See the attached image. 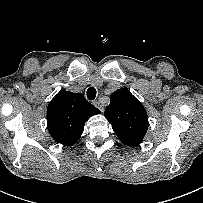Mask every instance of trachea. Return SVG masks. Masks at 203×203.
Instances as JSON below:
<instances>
[{
  "mask_svg": "<svg viewBox=\"0 0 203 203\" xmlns=\"http://www.w3.org/2000/svg\"><path fill=\"white\" fill-rule=\"evenodd\" d=\"M96 89L94 87H90L88 90H87V98L89 100H94L95 97H96Z\"/></svg>",
  "mask_w": 203,
  "mask_h": 203,
  "instance_id": "trachea-1",
  "label": "trachea"
}]
</instances>
